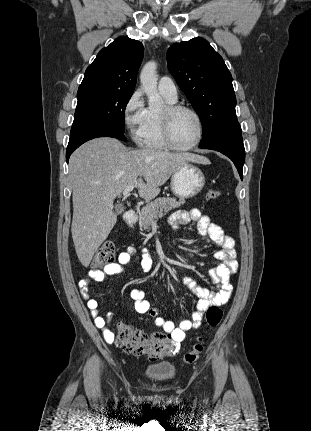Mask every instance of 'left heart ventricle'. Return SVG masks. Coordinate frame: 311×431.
I'll return each mask as SVG.
<instances>
[{
    "instance_id": "b2bd125f",
    "label": "left heart ventricle",
    "mask_w": 311,
    "mask_h": 431,
    "mask_svg": "<svg viewBox=\"0 0 311 431\" xmlns=\"http://www.w3.org/2000/svg\"><path fill=\"white\" fill-rule=\"evenodd\" d=\"M200 134L198 119L190 112H181L174 121L173 135L180 146H188L194 143Z\"/></svg>"
}]
</instances>
